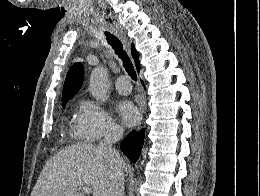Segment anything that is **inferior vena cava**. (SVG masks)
Listing matches in <instances>:
<instances>
[{
	"label": "inferior vena cava",
	"instance_id": "1",
	"mask_svg": "<svg viewBox=\"0 0 260 196\" xmlns=\"http://www.w3.org/2000/svg\"><path fill=\"white\" fill-rule=\"evenodd\" d=\"M121 136H122V132H119V130H110V132L106 134L104 140H102V142H99L97 146L98 150H102L104 154H112V156H114V162L118 164V168H119L117 174H115L114 186H112L111 192H109V196H124L125 180H124V172L121 168L123 164V160L120 154H118V152H116V150L112 148L114 142H118Z\"/></svg>",
	"mask_w": 260,
	"mask_h": 196
}]
</instances>
